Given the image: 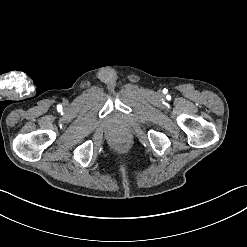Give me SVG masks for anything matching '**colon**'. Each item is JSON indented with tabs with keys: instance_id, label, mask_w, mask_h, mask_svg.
Here are the masks:
<instances>
[{
	"instance_id": "colon-1",
	"label": "colon",
	"mask_w": 247,
	"mask_h": 247,
	"mask_svg": "<svg viewBox=\"0 0 247 247\" xmlns=\"http://www.w3.org/2000/svg\"><path fill=\"white\" fill-rule=\"evenodd\" d=\"M114 147L119 152H126L131 147V140L126 135H119L114 140Z\"/></svg>"
}]
</instances>
